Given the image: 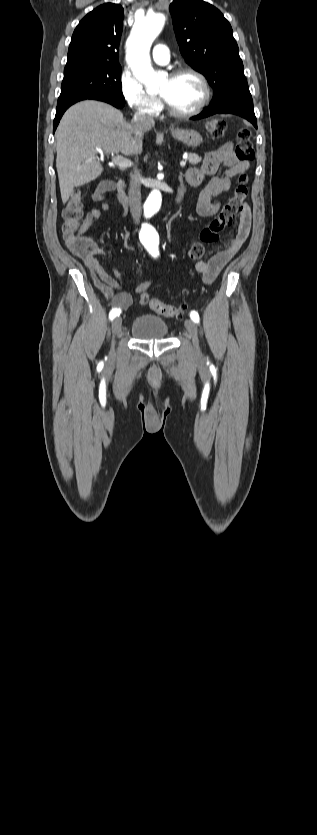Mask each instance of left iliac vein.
<instances>
[{
    "label": "left iliac vein",
    "mask_w": 317,
    "mask_h": 835,
    "mask_svg": "<svg viewBox=\"0 0 317 835\" xmlns=\"http://www.w3.org/2000/svg\"><path fill=\"white\" fill-rule=\"evenodd\" d=\"M184 326L186 328V331L188 333L189 338L192 340L195 353L199 354L200 353L199 339H198L197 327H196L195 323L191 319H186L185 322H184Z\"/></svg>",
    "instance_id": "obj_1"
}]
</instances>
